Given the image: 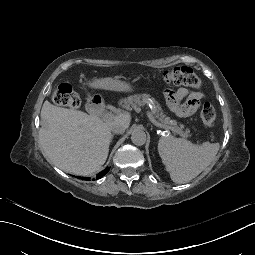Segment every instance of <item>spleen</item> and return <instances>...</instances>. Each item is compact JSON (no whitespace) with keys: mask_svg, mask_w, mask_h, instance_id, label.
Instances as JSON below:
<instances>
[{"mask_svg":"<svg viewBox=\"0 0 255 255\" xmlns=\"http://www.w3.org/2000/svg\"><path fill=\"white\" fill-rule=\"evenodd\" d=\"M218 143L203 142L198 146L174 136H161L157 150L173 182L187 183L200 174L213 160Z\"/></svg>","mask_w":255,"mask_h":255,"instance_id":"obj_1","label":"spleen"}]
</instances>
